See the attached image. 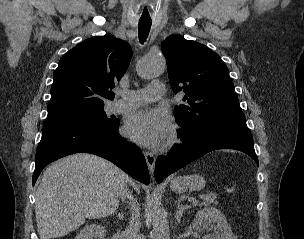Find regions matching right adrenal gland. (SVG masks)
<instances>
[{"label":"right adrenal gland","instance_id":"right-adrenal-gland-1","mask_svg":"<svg viewBox=\"0 0 304 239\" xmlns=\"http://www.w3.org/2000/svg\"><path fill=\"white\" fill-rule=\"evenodd\" d=\"M118 219H120V220H124V214L123 213H118Z\"/></svg>","mask_w":304,"mask_h":239}]
</instances>
